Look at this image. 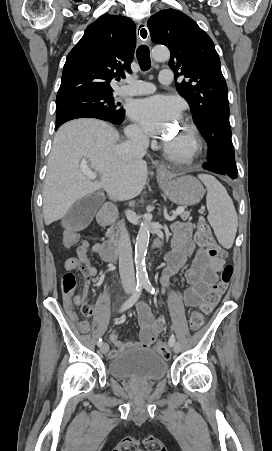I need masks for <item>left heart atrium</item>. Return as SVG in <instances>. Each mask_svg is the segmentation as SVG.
Masks as SVG:
<instances>
[{"label": "left heart atrium", "mask_w": 272, "mask_h": 451, "mask_svg": "<svg viewBox=\"0 0 272 451\" xmlns=\"http://www.w3.org/2000/svg\"><path fill=\"white\" fill-rule=\"evenodd\" d=\"M180 106L170 97L156 96L138 103L135 116L153 135L167 133L180 116Z\"/></svg>", "instance_id": "left-heart-atrium-1"}]
</instances>
